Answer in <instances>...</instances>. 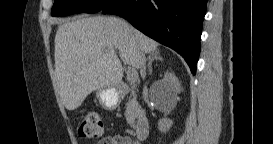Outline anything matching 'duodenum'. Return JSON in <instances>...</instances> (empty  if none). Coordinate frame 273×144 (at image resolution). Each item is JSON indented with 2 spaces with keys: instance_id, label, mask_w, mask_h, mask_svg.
<instances>
[{
  "instance_id": "410a0bca",
  "label": "duodenum",
  "mask_w": 273,
  "mask_h": 144,
  "mask_svg": "<svg viewBox=\"0 0 273 144\" xmlns=\"http://www.w3.org/2000/svg\"><path fill=\"white\" fill-rule=\"evenodd\" d=\"M121 90L124 91L126 90V88L122 87ZM149 131H150V125H149V119L147 115L141 111H138L135 126H134V132H135L136 138L140 141L145 140L149 135Z\"/></svg>"
}]
</instances>
